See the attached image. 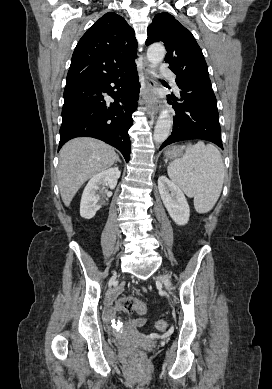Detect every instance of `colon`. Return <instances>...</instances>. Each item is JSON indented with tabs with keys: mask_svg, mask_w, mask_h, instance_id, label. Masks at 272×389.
<instances>
[{
	"mask_svg": "<svg viewBox=\"0 0 272 389\" xmlns=\"http://www.w3.org/2000/svg\"><path fill=\"white\" fill-rule=\"evenodd\" d=\"M116 310L124 314L136 313L142 315L146 312V305L138 298L127 296L118 299ZM156 328L159 331H164L167 328V322L165 320H158L156 322ZM131 360L135 365L141 366L145 364L146 356L142 351H135L131 354Z\"/></svg>",
	"mask_w": 272,
	"mask_h": 389,
	"instance_id": "obj_1",
	"label": "colon"
}]
</instances>
